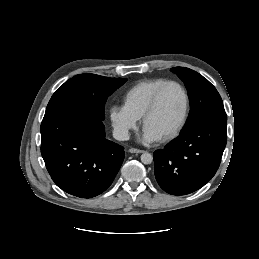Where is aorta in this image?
Segmentation results:
<instances>
[{"instance_id":"obj_1","label":"aorta","mask_w":259,"mask_h":259,"mask_svg":"<svg viewBox=\"0 0 259 259\" xmlns=\"http://www.w3.org/2000/svg\"><path fill=\"white\" fill-rule=\"evenodd\" d=\"M152 161H153V156L150 153L145 152L141 155V162L143 164H150L152 163Z\"/></svg>"}]
</instances>
